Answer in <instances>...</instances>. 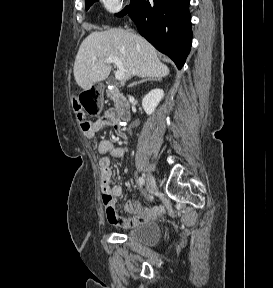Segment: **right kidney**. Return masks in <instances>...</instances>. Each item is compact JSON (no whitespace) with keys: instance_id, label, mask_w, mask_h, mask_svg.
Returning <instances> with one entry per match:
<instances>
[{"instance_id":"ca27d5eb","label":"right kidney","mask_w":273,"mask_h":288,"mask_svg":"<svg viewBox=\"0 0 273 288\" xmlns=\"http://www.w3.org/2000/svg\"><path fill=\"white\" fill-rule=\"evenodd\" d=\"M164 97V91L162 89H153L151 90L142 100V107L144 111L151 115L155 111L157 105Z\"/></svg>"}]
</instances>
